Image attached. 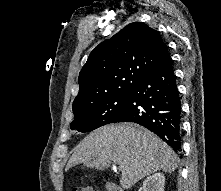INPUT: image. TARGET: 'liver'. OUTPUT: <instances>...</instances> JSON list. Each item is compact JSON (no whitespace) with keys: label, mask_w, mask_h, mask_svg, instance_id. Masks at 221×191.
Returning a JSON list of instances; mask_svg holds the SVG:
<instances>
[{"label":"liver","mask_w":221,"mask_h":191,"mask_svg":"<svg viewBox=\"0 0 221 191\" xmlns=\"http://www.w3.org/2000/svg\"><path fill=\"white\" fill-rule=\"evenodd\" d=\"M117 163L122 172L120 184L132 187L140 179L163 170L177 168V156L154 133L132 123L100 127L87 135L74 149L68 167L83 163L96 169Z\"/></svg>","instance_id":"obj_1"}]
</instances>
